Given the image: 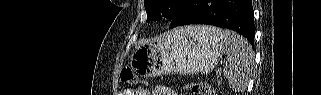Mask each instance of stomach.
I'll use <instances>...</instances> for the list:
<instances>
[{
	"label": "stomach",
	"instance_id": "0dacf381",
	"mask_svg": "<svg viewBox=\"0 0 321 95\" xmlns=\"http://www.w3.org/2000/svg\"><path fill=\"white\" fill-rule=\"evenodd\" d=\"M223 51L221 39L201 30L179 28L154 41L137 45L131 56V66L144 77L205 73L214 68Z\"/></svg>",
	"mask_w": 321,
	"mask_h": 95
}]
</instances>
